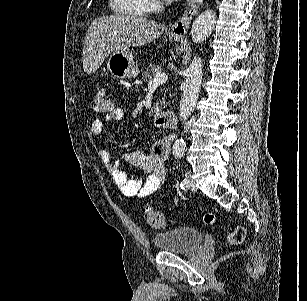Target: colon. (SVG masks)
<instances>
[{
	"mask_svg": "<svg viewBox=\"0 0 307 301\" xmlns=\"http://www.w3.org/2000/svg\"><path fill=\"white\" fill-rule=\"evenodd\" d=\"M111 108V100L104 90L98 91L92 99V109L97 113H104ZM147 223L156 229H163L168 226L167 219L158 209L153 206H146L143 209ZM204 222L212 225L216 222V217L212 213H206ZM245 238V229L241 226L234 228L227 236L230 244H240Z\"/></svg>",
	"mask_w": 307,
	"mask_h": 301,
	"instance_id": "5ec220e1",
	"label": "colon"
}]
</instances>
